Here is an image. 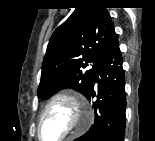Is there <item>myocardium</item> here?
<instances>
[{
  "mask_svg": "<svg viewBox=\"0 0 155 141\" xmlns=\"http://www.w3.org/2000/svg\"><path fill=\"white\" fill-rule=\"evenodd\" d=\"M58 103H66L71 108L72 116V127L66 131L60 138L56 141H64L69 137L76 135L77 133L84 130L91 122L92 114L90 112L87 104L80 99L78 96L72 95L70 93H57L51 96L42 106L38 118H37V136L40 140H44L41 135V124L45 114L50 108Z\"/></svg>",
  "mask_w": 155,
  "mask_h": 141,
  "instance_id": "myocardium-1",
  "label": "myocardium"
}]
</instances>
